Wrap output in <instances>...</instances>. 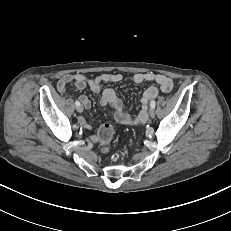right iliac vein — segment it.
<instances>
[{"mask_svg": "<svg viewBox=\"0 0 231 231\" xmlns=\"http://www.w3.org/2000/svg\"><path fill=\"white\" fill-rule=\"evenodd\" d=\"M76 109H77V111H78L79 113L83 112V106H81V105L77 106Z\"/></svg>", "mask_w": 231, "mask_h": 231, "instance_id": "right-iliac-vein-1", "label": "right iliac vein"}]
</instances>
